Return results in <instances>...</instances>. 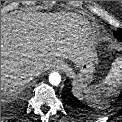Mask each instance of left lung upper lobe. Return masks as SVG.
<instances>
[{
  "mask_svg": "<svg viewBox=\"0 0 122 122\" xmlns=\"http://www.w3.org/2000/svg\"><path fill=\"white\" fill-rule=\"evenodd\" d=\"M114 36L117 40L122 41V29H118L116 32H114Z\"/></svg>",
  "mask_w": 122,
  "mask_h": 122,
  "instance_id": "left-lung-upper-lobe-1",
  "label": "left lung upper lobe"
}]
</instances>
